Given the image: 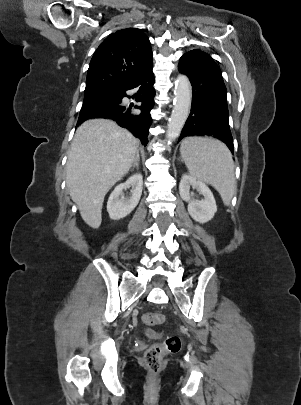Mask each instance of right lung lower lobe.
<instances>
[{
  "label": "right lung lower lobe",
  "instance_id": "obj_1",
  "mask_svg": "<svg viewBox=\"0 0 301 405\" xmlns=\"http://www.w3.org/2000/svg\"><path fill=\"white\" fill-rule=\"evenodd\" d=\"M152 68L153 64L147 67L135 80L126 85L120 91V95L115 101L89 110H81L77 125L92 118L112 119L116 121L118 125L127 128L137 136L143 145H147L149 127L152 123L150 111L154 106L153 97L155 95ZM131 89H137L135 96L136 101H138L140 105L134 107L141 110L140 114H134L132 112V106L126 107L121 104L123 97H129L126 91Z\"/></svg>",
  "mask_w": 301,
  "mask_h": 405
}]
</instances>
